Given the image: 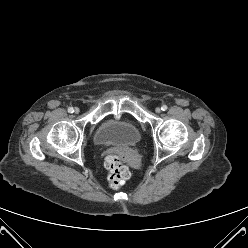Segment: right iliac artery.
Returning a JSON list of instances; mask_svg holds the SVG:
<instances>
[{"instance_id": "right-iliac-artery-1", "label": "right iliac artery", "mask_w": 248, "mask_h": 248, "mask_svg": "<svg viewBox=\"0 0 248 248\" xmlns=\"http://www.w3.org/2000/svg\"><path fill=\"white\" fill-rule=\"evenodd\" d=\"M68 112H69V113H73V112H74L73 107L68 108Z\"/></svg>"}]
</instances>
